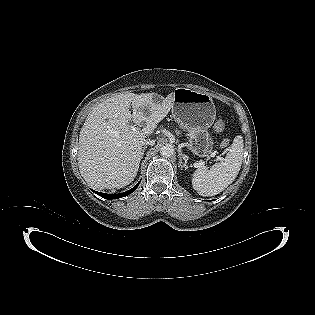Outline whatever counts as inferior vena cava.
<instances>
[{"mask_svg":"<svg viewBox=\"0 0 315 315\" xmlns=\"http://www.w3.org/2000/svg\"><path fill=\"white\" fill-rule=\"evenodd\" d=\"M155 144V140H150V139H144L142 141V145H154Z\"/></svg>","mask_w":315,"mask_h":315,"instance_id":"inferior-vena-cava-1","label":"inferior vena cava"}]
</instances>
